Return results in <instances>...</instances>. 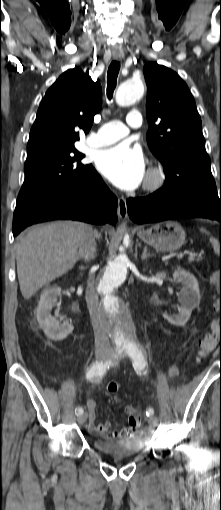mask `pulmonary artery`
I'll use <instances>...</instances> for the list:
<instances>
[{"label":"pulmonary artery","mask_w":221,"mask_h":510,"mask_svg":"<svg viewBox=\"0 0 221 510\" xmlns=\"http://www.w3.org/2000/svg\"><path fill=\"white\" fill-rule=\"evenodd\" d=\"M142 125L141 115L138 111L129 113L127 125L119 121H110L103 124L96 132L89 135L88 143L93 147L108 146L126 137L129 128H138Z\"/></svg>","instance_id":"obj_1"}]
</instances>
